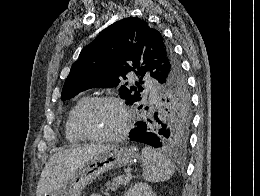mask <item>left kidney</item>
Here are the masks:
<instances>
[{"label":"left kidney","mask_w":260,"mask_h":196,"mask_svg":"<svg viewBox=\"0 0 260 196\" xmlns=\"http://www.w3.org/2000/svg\"><path fill=\"white\" fill-rule=\"evenodd\" d=\"M125 196H156V194L152 192L151 186H148L145 182H139V184H135V186L129 188Z\"/></svg>","instance_id":"obj_1"}]
</instances>
